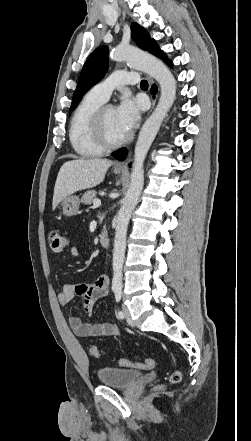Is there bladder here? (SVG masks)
I'll list each match as a JSON object with an SVG mask.
<instances>
[{"label": "bladder", "mask_w": 251, "mask_h": 441, "mask_svg": "<svg viewBox=\"0 0 251 441\" xmlns=\"http://www.w3.org/2000/svg\"><path fill=\"white\" fill-rule=\"evenodd\" d=\"M141 376L140 371L116 367H104L97 371L98 381L104 386L114 388H128Z\"/></svg>", "instance_id": "31cf9c89"}]
</instances>
